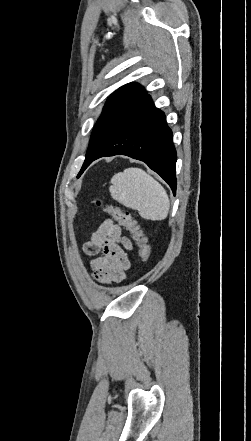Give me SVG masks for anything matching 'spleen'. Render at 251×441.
Returning <instances> with one entry per match:
<instances>
[{"label":"spleen","mask_w":251,"mask_h":441,"mask_svg":"<svg viewBox=\"0 0 251 441\" xmlns=\"http://www.w3.org/2000/svg\"><path fill=\"white\" fill-rule=\"evenodd\" d=\"M109 188L111 197L125 207L137 210L147 220L167 217L169 197L163 186L140 168H127L116 173Z\"/></svg>","instance_id":"1"}]
</instances>
